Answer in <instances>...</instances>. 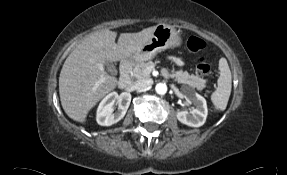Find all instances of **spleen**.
<instances>
[{
    "mask_svg": "<svg viewBox=\"0 0 287 175\" xmlns=\"http://www.w3.org/2000/svg\"><path fill=\"white\" fill-rule=\"evenodd\" d=\"M220 76L217 81V88L211 95V101L218 110H225L231 94L232 76L227 60H219Z\"/></svg>",
    "mask_w": 287,
    "mask_h": 175,
    "instance_id": "1",
    "label": "spleen"
}]
</instances>
